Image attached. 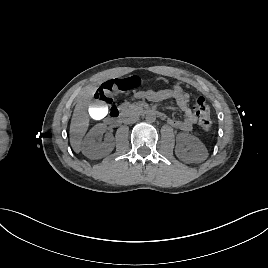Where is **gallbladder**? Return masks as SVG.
<instances>
[{"instance_id":"obj_1","label":"gallbladder","mask_w":268,"mask_h":268,"mask_svg":"<svg viewBox=\"0 0 268 268\" xmlns=\"http://www.w3.org/2000/svg\"><path fill=\"white\" fill-rule=\"evenodd\" d=\"M108 111L107 105L98 100L92 102L88 109L89 115L99 121L106 118Z\"/></svg>"}]
</instances>
